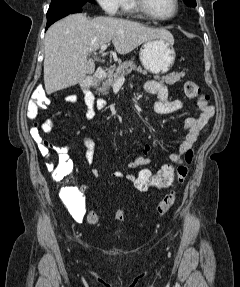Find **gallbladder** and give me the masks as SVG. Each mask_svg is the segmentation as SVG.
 Returning a JSON list of instances; mask_svg holds the SVG:
<instances>
[{"label":"gallbladder","instance_id":"gallbladder-1","mask_svg":"<svg viewBox=\"0 0 240 287\" xmlns=\"http://www.w3.org/2000/svg\"><path fill=\"white\" fill-rule=\"evenodd\" d=\"M94 64H89L88 66H87V73L88 74H92L93 72H94Z\"/></svg>","mask_w":240,"mask_h":287}]
</instances>
